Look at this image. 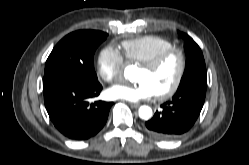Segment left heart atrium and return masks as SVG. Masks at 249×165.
I'll use <instances>...</instances> for the list:
<instances>
[{
  "instance_id": "1",
  "label": "left heart atrium",
  "mask_w": 249,
  "mask_h": 165,
  "mask_svg": "<svg viewBox=\"0 0 249 165\" xmlns=\"http://www.w3.org/2000/svg\"><path fill=\"white\" fill-rule=\"evenodd\" d=\"M107 94L113 99L137 102L149 99L156 93L148 82L138 81L136 84L117 83L107 90Z\"/></svg>"
}]
</instances>
